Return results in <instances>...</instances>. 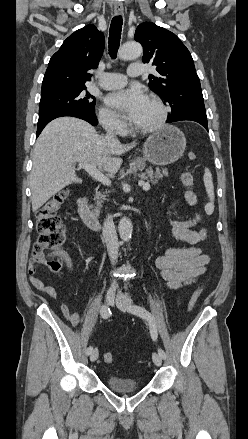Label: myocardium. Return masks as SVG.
<instances>
[{
  "instance_id": "myocardium-1",
  "label": "myocardium",
  "mask_w": 248,
  "mask_h": 439,
  "mask_svg": "<svg viewBox=\"0 0 248 439\" xmlns=\"http://www.w3.org/2000/svg\"><path fill=\"white\" fill-rule=\"evenodd\" d=\"M148 100L151 101L153 104H155L158 107V109L160 111V116H159L158 120L150 126L140 127V126H137L133 123L131 126L132 130L136 133H139V134H150V133L156 132V131L162 129L168 120L169 109L164 104V102L160 98H158L157 96H150L148 98Z\"/></svg>"
}]
</instances>
